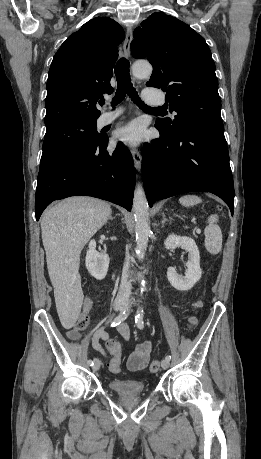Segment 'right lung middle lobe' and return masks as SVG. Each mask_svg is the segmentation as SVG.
Instances as JSON below:
<instances>
[{
  "instance_id": "1",
  "label": "right lung middle lobe",
  "mask_w": 261,
  "mask_h": 459,
  "mask_svg": "<svg viewBox=\"0 0 261 459\" xmlns=\"http://www.w3.org/2000/svg\"><path fill=\"white\" fill-rule=\"evenodd\" d=\"M40 166L68 152L88 148L103 138L96 120H66L46 127Z\"/></svg>"
}]
</instances>
